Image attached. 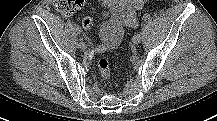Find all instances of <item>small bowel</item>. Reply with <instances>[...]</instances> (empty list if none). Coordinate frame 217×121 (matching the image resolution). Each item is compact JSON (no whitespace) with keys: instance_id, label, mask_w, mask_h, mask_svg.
Masks as SVG:
<instances>
[{"instance_id":"c3829d8e","label":"small bowel","mask_w":217,"mask_h":121,"mask_svg":"<svg viewBox=\"0 0 217 121\" xmlns=\"http://www.w3.org/2000/svg\"><path fill=\"white\" fill-rule=\"evenodd\" d=\"M105 13V22L100 31L102 43L97 45V52H105L117 46L123 37L125 28H135L138 25L136 12L147 0H99Z\"/></svg>"}]
</instances>
